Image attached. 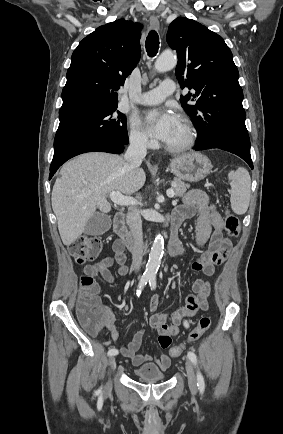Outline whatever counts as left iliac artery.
Here are the masks:
<instances>
[{
    "label": "left iliac artery",
    "instance_id": "left-iliac-artery-1",
    "mask_svg": "<svg viewBox=\"0 0 283 434\" xmlns=\"http://www.w3.org/2000/svg\"><path fill=\"white\" fill-rule=\"evenodd\" d=\"M149 285H150V287H151L152 290L156 288V278L154 276H152V277L149 278ZM184 324H185L186 327H188V323L187 322H185ZM187 356L191 360V362L196 366L197 365L196 354L194 352H192V351H189L188 354H187ZM197 386H198V389L200 391H204V389H205V382H204V378H203V376H202V374H201V372L199 370L197 371Z\"/></svg>",
    "mask_w": 283,
    "mask_h": 434
}]
</instances>
